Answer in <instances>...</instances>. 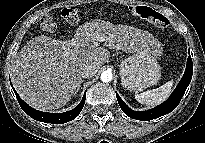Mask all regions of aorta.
<instances>
[{
  "label": "aorta",
  "mask_w": 205,
  "mask_h": 143,
  "mask_svg": "<svg viewBox=\"0 0 205 143\" xmlns=\"http://www.w3.org/2000/svg\"><path fill=\"white\" fill-rule=\"evenodd\" d=\"M112 79H113V74H112L111 71L106 70V71H103V72L101 73V80H102L103 82L108 83V82H110Z\"/></svg>",
  "instance_id": "aorta-1"
}]
</instances>
